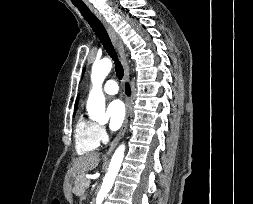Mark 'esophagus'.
<instances>
[{"instance_id": "1", "label": "esophagus", "mask_w": 253, "mask_h": 204, "mask_svg": "<svg viewBox=\"0 0 253 204\" xmlns=\"http://www.w3.org/2000/svg\"><path fill=\"white\" fill-rule=\"evenodd\" d=\"M88 6L95 13V15L100 19V21L104 25L105 29L107 30L108 35H109L113 45L117 49V51L120 55L123 67H124V74H125L124 79H125V82H127L129 80L130 69H129L126 53H125V50H124V47H123V44H122L120 38L115 33V31L110 26V24L102 17V15L92 5L88 4ZM125 105H126V115H125L123 125H122L119 133L117 134V136L112 141L110 148L105 155H108L117 146V144L119 143V141L122 139V137L124 136V134L126 132L127 125H128V119H129V115H130V102H129L128 97L125 98Z\"/></svg>"}]
</instances>
